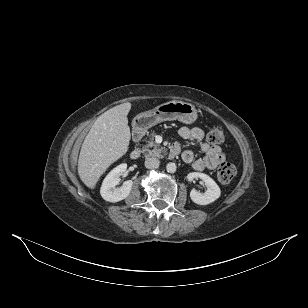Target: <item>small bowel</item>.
Masks as SVG:
<instances>
[{
  "mask_svg": "<svg viewBox=\"0 0 308 308\" xmlns=\"http://www.w3.org/2000/svg\"><path fill=\"white\" fill-rule=\"evenodd\" d=\"M179 135L185 140L199 143V149L204 156L198 159H195L194 153L191 150L182 151V146L179 143L175 144L179 148V153L182 151L183 161L192 164L195 170H213L225 161V153L221 147L207 143L204 140L205 134L201 128L183 126L179 129Z\"/></svg>",
  "mask_w": 308,
  "mask_h": 308,
  "instance_id": "c3829d8e",
  "label": "small bowel"
}]
</instances>
